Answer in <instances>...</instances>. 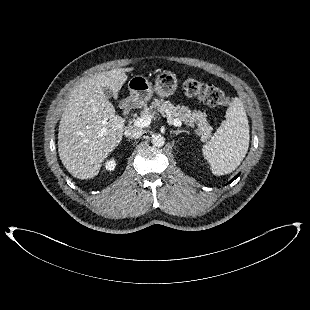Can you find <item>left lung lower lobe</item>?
I'll list each match as a JSON object with an SVG mask.
<instances>
[{
  "label": "left lung lower lobe",
  "mask_w": 310,
  "mask_h": 310,
  "mask_svg": "<svg viewBox=\"0 0 310 310\" xmlns=\"http://www.w3.org/2000/svg\"><path fill=\"white\" fill-rule=\"evenodd\" d=\"M238 176H239V174L236 175L229 183H231L233 180H235Z\"/></svg>",
  "instance_id": "0a47b994"
}]
</instances>
